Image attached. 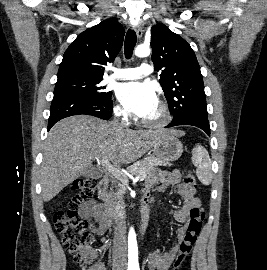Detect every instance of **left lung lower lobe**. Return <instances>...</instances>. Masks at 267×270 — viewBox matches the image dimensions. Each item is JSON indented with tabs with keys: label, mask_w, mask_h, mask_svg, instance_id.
<instances>
[{
	"label": "left lung lower lobe",
	"mask_w": 267,
	"mask_h": 270,
	"mask_svg": "<svg viewBox=\"0 0 267 270\" xmlns=\"http://www.w3.org/2000/svg\"><path fill=\"white\" fill-rule=\"evenodd\" d=\"M178 125H191L196 126L207 133L210 136V125L208 117L200 115H188L179 119H173V121L166 127H173Z\"/></svg>",
	"instance_id": "obj_1"
}]
</instances>
